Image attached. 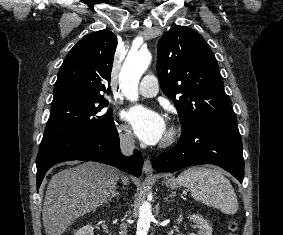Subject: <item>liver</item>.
<instances>
[{
    "label": "liver",
    "instance_id": "obj_1",
    "mask_svg": "<svg viewBox=\"0 0 283 235\" xmlns=\"http://www.w3.org/2000/svg\"><path fill=\"white\" fill-rule=\"evenodd\" d=\"M119 171L84 162L55 174L46 190L42 219L46 235H62L79 217L96 210L116 188ZM124 183L129 179L121 176Z\"/></svg>",
    "mask_w": 283,
    "mask_h": 235
}]
</instances>
